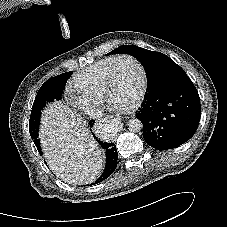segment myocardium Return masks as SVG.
I'll list each match as a JSON object with an SVG mask.
<instances>
[{"label": "myocardium", "instance_id": "myocardium-1", "mask_svg": "<svg viewBox=\"0 0 227 227\" xmlns=\"http://www.w3.org/2000/svg\"><path fill=\"white\" fill-rule=\"evenodd\" d=\"M124 59H129V60L133 61L138 66V68L140 70V74H141L140 92H139L138 96L136 97V99L132 103H130L129 105L126 106V109H133L141 104V102L144 100L147 90H148V76H147L146 69H145L144 65L142 64V62L133 55L123 54V55L118 56L115 59V61L109 68L108 73L105 78L103 98L109 106H116L112 102V99H111L112 87H113V83H114V75H115V71H116L118 64Z\"/></svg>", "mask_w": 227, "mask_h": 227}]
</instances>
